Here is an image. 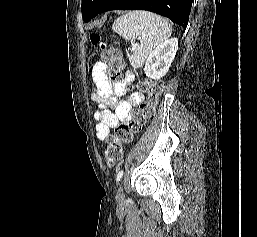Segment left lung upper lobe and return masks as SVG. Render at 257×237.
I'll return each mask as SVG.
<instances>
[{
	"label": "left lung upper lobe",
	"instance_id": "left-lung-upper-lobe-1",
	"mask_svg": "<svg viewBox=\"0 0 257 237\" xmlns=\"http://www.w3.org/2000/svg\"><path fill=\"white\" fill-rule=\"evenodd\" d=\"M108 0H82L81 11L85 22L94 18Z\"/></svg>",
	"mask_w": 257,
	"mask_h": 237
}]
</instances>
